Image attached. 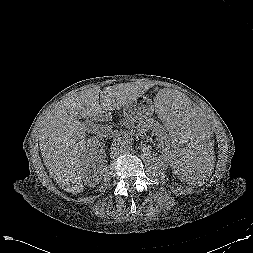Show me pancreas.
I'll return each mask as SVG.
<instances>
[{
  "label": "pancreas",
  "instance_id": "1",
  "mask_svg": "<svg viewBox=\"0 0 253 253\" xmlns=\"http://www.w3.org/2000/svg\"><path fill=\"white\" fill-rule=\"evenodd\" d=\"M103 130L106 136L113 137L115 135L110 127H104Z\"/></svg>",
  "mask_w": 253,
  "mask_h": 253
}]
</instances>
